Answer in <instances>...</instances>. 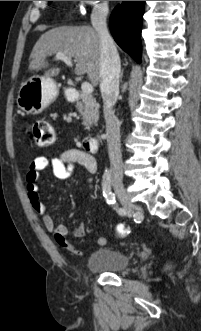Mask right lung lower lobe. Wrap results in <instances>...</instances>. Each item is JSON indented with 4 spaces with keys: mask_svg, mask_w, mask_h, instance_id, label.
Returning a JSON list of instances; mask_svg holds the SVG:
<instances>
[{
    "mask_svg": "<svg viewBox=\"0 0 201 331\" xmlns=\"http://www.w3.org/2000/svg\"><path fill=\"white\" fill-rule=\"evenodd\" d=\"M144 1H123L112 12L110 30L117 44L137 62L141 59Z\"/></svg>",
    "mask_w": 201,
    "mask_h": 331,
    "instance_id": "1",
    "label": "right lung lower lobe"
}]
</instances>
